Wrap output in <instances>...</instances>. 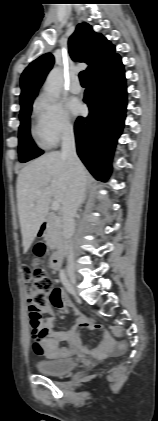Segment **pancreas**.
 <instances>
[{
	"mask_svg": "<svg viewBox=\"0 0 158 421\" xmlns=\"http://www.w3.org/2000/svg\"><path fill=\"white\" fill-rule=\"evenodd\" d=\"M47 245L50 249H56L62 242L61 217L51 213L48 218V225L44 234Z\"/></svg>",
	"mask_w": 158,
	"mask_h": 421,
	"instance_id": "obj_1",
	"label": "pancreas"
}]
</instances>
